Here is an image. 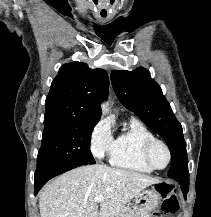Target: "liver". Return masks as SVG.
Listing matches in <instances>:
<instances>
[{
  "mask_svg": "<svg viewBox=\"0 0 211 217\" xmlns=\"http://www.w3.org/2000/svg\"><path fill=\"white\" fill-rule=\"evenodd\" d=\"M159 180L138 172L87 165L62 174L39 195L40 217H115ZM103 196L100 210L94 198Z\"/></svg>",
  "mask_w": 211,
  "mask_h": 217,
  "instance_id": "obj_1",
  "label": "liver"
}]
</instances>
